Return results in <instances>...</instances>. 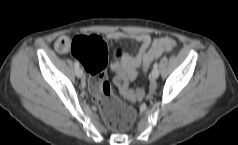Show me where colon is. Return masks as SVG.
Segmentation results:
<instances>
[{"mask_svg":"<svg viewBox=\"0 0 238 145\" xmlns=\"http://www.w3.org/2000/svg\"><path fill=\"white\" fill-rule=\"evenodd\" d=\"M175 47L169 38L156 40L143 58V69L147 70L154 59ZM71 53L89 73V88L94 101L99 105L101 114L107 125L116 131L130 128L136 118L134 109L123 103L113 92L108 82L105 69L108 52L104 40L96 35L75 36L71 41ZM117 56H121L119 50ZM114 82L120 92L129 100H140L144 96L142 88L132 90L124 69L118 70Z\"/></svg>","mask_w":238,"mask_h":145,"instance_id":"obj_1","label":"colon"}]
</instances>
